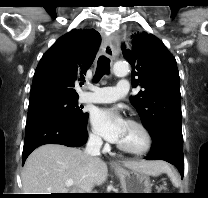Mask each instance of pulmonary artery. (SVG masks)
I'll return each mask as SVG.
<instances>
[{
    "instance_id": "1",
    "label": "pulmonary artery",
    "mask_w": 208,
    "mask_h": 198,
    "mask_svg": "<svg viewBox=\"0 0 208 198\" xmlns=\"http://www.w3.org/2000/svg\"><path fill=\"white\" fill-rule=\"evenodd\" d=\"M90 91L83 92L80 96L82 102L111 103L124 98L129 92V83L122 79L114 87H89Z\"/></svg>"
}]
</instances>
